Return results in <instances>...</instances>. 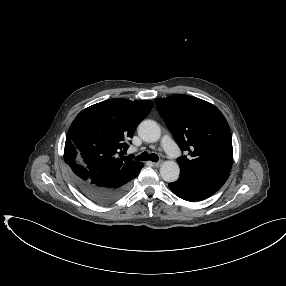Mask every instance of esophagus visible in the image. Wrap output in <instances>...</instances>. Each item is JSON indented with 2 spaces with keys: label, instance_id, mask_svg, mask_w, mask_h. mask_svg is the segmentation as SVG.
I'll return each mask as SVG.
<instances>
[{
  "label": "esophagus",
  "instance_id": "1",
  "mask_svg": "<svg viewBox=\"0 0 286 286\" xmlns=\"http://www.w3.org/2000/svg\"><path fill=\"white\" fill-rule=\"evenodd\" d=\"M161 164H162V161H158V162H154V163H153V165H154L155 167H160Z\"/></svg>",
  "mask_w": 286,
  "mask_h": 286
}]
</instances>
